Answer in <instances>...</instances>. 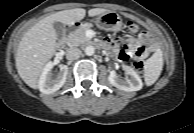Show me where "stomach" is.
Wrapping results in <instances>:
<instances>
[{
  "label": "stomach",
  "instance_id": "1",
  "mask_svg": "<svg viewBox=\"0 0 194 133\" xmlns=\"http://www.w3.org/2000/svg\"><path fill=\"white\" fill-rule=\"evenodd\" d=\"M96 25L106 31H119L122 28V19L116 12L109 11L95 19Z\"/></svg>",
  "mask_w": 194,
  "mask_h": 133
}]
</instances>
